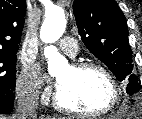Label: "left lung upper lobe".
<instances>
[{
  "mask_svg": "<svg viewBox=\"0 0 142 119\" xmlns=\"http://www.w3.org/2000/svg\"><path fill=\"white\" fill-rule=\"evenodd\" d=\"M73 12L83 43L119 81H127V94L140 90L132 74V51L126 18L115 0H74Z\"/></svg>",
  "mask_w": 142,
  "mask_h": 119,
  "instance_id": "1",
  "label": "left lung upper lobe"
}]
</instances>
